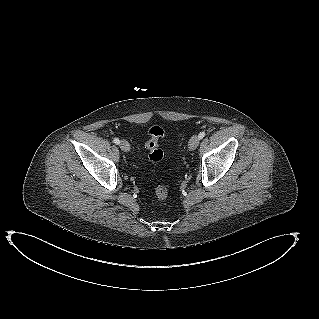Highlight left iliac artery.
Wrapping results in <instances>:
<instances>
[{
    "instance_id": "1",
    "label": "left iliac artery",
    "mask_w": 319,
    "mask_h": 319,
    "mask_svg": "<svg viewBox=\"0 0 319 319\" xmlns=\"http://www.w3.org/2000/svg\"><path fill=\"white\" fill-rule=\"evenodd\" d=\"M198 136L200 139H202L205 136V132L204 131L200 132Z\"/></svg>"
}]
</instances>
